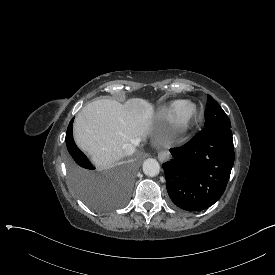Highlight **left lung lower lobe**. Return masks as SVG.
Returning a JSON list of instances; mask_svg holds the SVG:
<instances>
[{"mask_svg":"<svg viewBox=\"0 0 275 275\" xmlns=\"http://www.w3.org/2000/svg\"><path fill=\"white\" fill-rule=\"evenodd\" d=\"M231 127L205 128L162 165L172 202L186 211H200L216 203L227 186L234 163Z\"/></svg>","mask_w":275,"mask_h":275,"instance_id":"obj_1","label":"left lung lower lobe"}]
</instances>
